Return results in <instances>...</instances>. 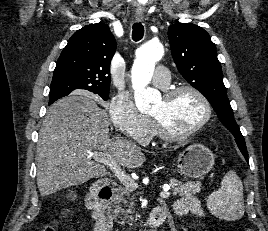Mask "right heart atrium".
I'll list each match as a JSON object with an SVG mask.
<instances>
[{"label": "right heart atrium", "mask_w": 268, "mask_h": 231, "mask_svg": "<svg viewBox=\"0 0 268 231\" xmlns=\"http://www.w3.org/2000/svg\"><path fill=\"white\" fill-rule=\"evenodd\" d=\"M108 111L113 126L118 132L139 144L151 140L152 121L138 110L127 91L119 92L111 98Z\"/></svg>", "instance_id": "1"}]
</instances>
